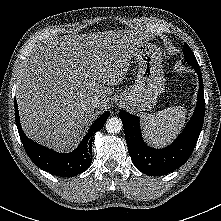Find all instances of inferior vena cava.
I'll list each match as a JSON object with an SVG mask.
<instances>
[{"label":"inferior vena cava","instance_id":"602c4592","mask_svg":"<svg viewBox=\"0 0 221 221\" xmlns=\"http://www.w3.org/2000/svg\"><path fill=\"white\" fill-rule=\"evenodd\" d=\"M100 106V101L97 99H94L90 102V107L92 109L98 108Z\"/></svg>","mask_w":221,"mask_h":221}]
</instances>
